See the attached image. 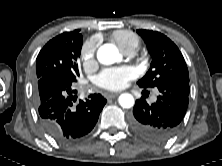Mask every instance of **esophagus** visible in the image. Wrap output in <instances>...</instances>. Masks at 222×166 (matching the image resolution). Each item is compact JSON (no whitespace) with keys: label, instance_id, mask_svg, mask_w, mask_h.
<instances>
[{"label":"esophagus","instance_id":"1","mask_svg":"<svg viewBox=\"0 0 222 166\" xmlns=\"http://www.w3.org/2000/svg\"><path fill=\"white\" fill-rule=\"evenodd\" d=\"M119 94H120V92L109 93V94H107V97L108 98H114V97L118 96Z\"/></svg>","mask_w":222,"mask_h":166}]
</instances>
